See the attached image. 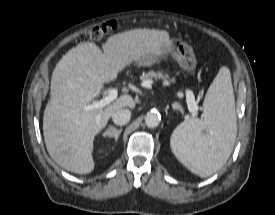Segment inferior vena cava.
<instances>
[{
	"mask_svg": "<svg viewBox=\"0 0 275 215\" xmlns=\"http://www.w3.org/2000/svg\"><path fill=\"white\" fill-rule=\"evenodd\" d=\"M131 112L129 109L121 108L112 114V120L116 125L122 126L129 122Z\"/></svg>",
	"mask_w": 275,
	"mask_h": 215,
	"instance_id": "obj_1",
	"label": "inferior vena cava"
}]
</instances>
